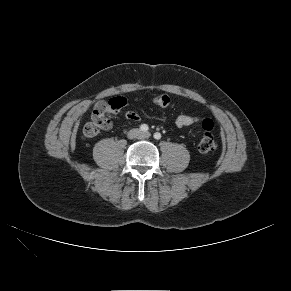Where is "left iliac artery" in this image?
Here are the masks:
<instances>
[{
  "label": "left iliac artery",
  "instance_id": "obj_1",
  "mask_svg": "<svg viewBox=\"0 0 291 291\" xmlns=\"http://www.w3.org/2000/svg\"><path fill=\"white\" fill-rule=\"evenodd\" d=\"M153 137L156 139V140H159L161 138V134L159 132H156L154 133Z\"/></svg>",
  "mask_w": 291,
  "mask_h": 291
}]
</instances>
